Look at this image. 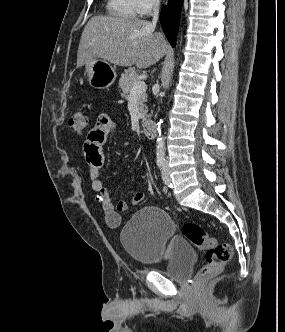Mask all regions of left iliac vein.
Here are the masks:
<instances>
[{"mask_svg":"<svg viewBox=\"0 0 285 332\" xmlns=\"http://www.w3.org/2000/svg\"><path fill=\"white\" fill-rule=\"evenodd\" d=\"M162 179H163V182H164L166 185H170V184H171V178H170L169 171H168V166H167L166 163H165L164 166H163V170H162Z\"/></svg>","mask_w":285,"mask_h":332,"instance_id":"left-iliac-vein-1","label":"left iliac vein"}]
</instances>
